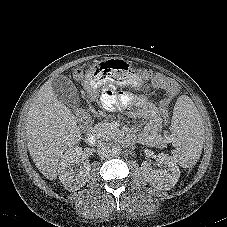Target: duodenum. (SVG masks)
<instances>
[{
	"instance_id": "obj_1",
	"label": "duodenum",
	"mask_w": 227,
	"mask_h": 227,
	"mask_svg": "<svg viewBox=\"0 0 227 227\" xmlns=\"http://www.w3.org/2000/svg\"><path fill=\"white\" fill-rule=\"evenodd\" d=\"M85 141L88 145H91V146L96 144L97 138H96V134L93 130H89L86 132Z\"/></svg>"
}]
</instances>
